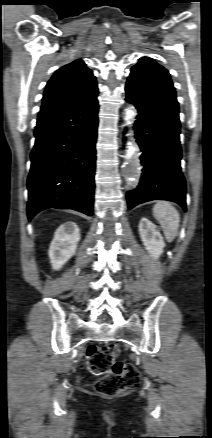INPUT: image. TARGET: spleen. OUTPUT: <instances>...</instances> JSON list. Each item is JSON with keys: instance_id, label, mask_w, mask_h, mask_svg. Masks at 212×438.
Returning a JSON list of instances; mask_svg holds the SVG:
<instances>
[{"instance_id": "obj_1", "label": "spleen", "mask_w": 212, "mask_h": 438, "mask_svg": "<svg viewBox=\"0 0 212 438\" xmlns=\"http://www.w3.org/2000/svg\"><path fill=\"white\" fill-rule=\"evenodd\" d=\"M153 215L160 223L164 236L172 242L178 234L180 215L168 201H158L153 207Z\"/></svg>"}]
</instances>
